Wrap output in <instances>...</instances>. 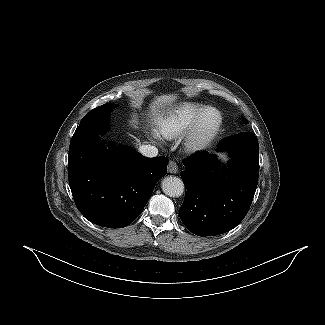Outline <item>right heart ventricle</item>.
<instances>
[{"label": "right heart ventricle", "instance_id": "right-heart-ventricle-1", "mask_svg": "<svg viewBox=\"0 0 325 325\" xmlns=\"http://www.w3.org/2000/svg\"><path fill=\"white\" fill-rule=\"evenodd\" d=\"M206 107L192 102L177 105L157 120L156 130L158 134L167 139L183 134Z\"/></svg>", "mask_w": 325, "mask_h": 325}]
</instances>
